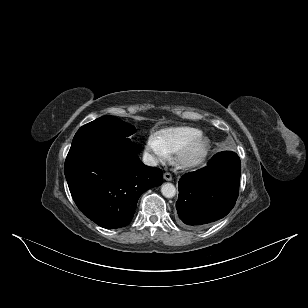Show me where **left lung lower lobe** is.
Instances as JSON below:
<instances>
[{
    "label": "left lung lower lobe",
    "instance_id": "1",
    "mask_svg": "<svg viewBox=\"0 0 308 308\" xmlns=\"http://www.w3.org/2000/svg\"><path fill=\"white\" fill-rule=\"evenodd\" d=\"M240 173L238 155L223 151L206 167L182 176L176 202L178 222L199 229L226 216L238 197Z\"/></svg>",
    "mask_w": 308,
    "mask_h": 308
}]
</instances>
